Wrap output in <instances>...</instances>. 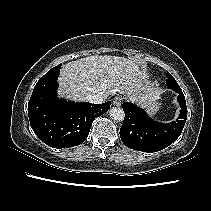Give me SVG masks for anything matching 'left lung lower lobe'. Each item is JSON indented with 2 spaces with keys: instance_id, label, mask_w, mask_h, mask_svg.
Instances as JSON below:
<instances>
[{
  "instance_id": "1",
  "label": "left lung lower lobe",
  "mask_w": 211,
  "mask_h": 211,
  "mask_svg": "<svg viewBox=\"0 0 211 211\" xmlns=\"http://www.w3.org/2000/svg\"><path fill=\"white\" fill-rule=\"evenodd\" d=\"M174 91L178 93L181 110L176 121L166 124L154 121L143 109L132 103H123L125 118L120 128V138L128 148L157 152L177 140L187 119V107L181 88L177 87Z\"/></svg>"
}]
</instances>
